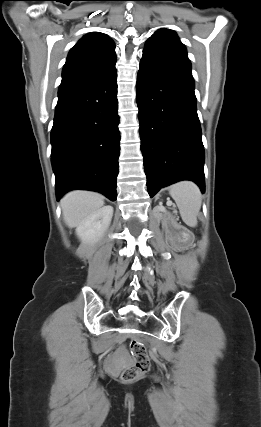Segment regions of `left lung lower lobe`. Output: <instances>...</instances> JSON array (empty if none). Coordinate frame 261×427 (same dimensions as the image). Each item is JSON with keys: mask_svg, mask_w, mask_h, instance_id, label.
<instances>
[{"mask_svg": "<svg viewBox=\"0 0 261 427\" xmlns=\"http://www.w3.org/2000/svg\"><path fill=\"white\" fill-rule=\"evenodd\" d=\"M136 91L150 197L181 180L194 181L204 193V148L191 67L143 52Z\"/></svg>", "mask_w": 261, "mask_h": 427, "instance_id": "0a47b994", "label": "left lung lower lobe"}]
</instances>
